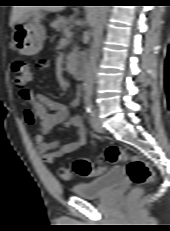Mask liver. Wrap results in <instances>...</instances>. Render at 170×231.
Instances as JSON below:
<instances>
[{
	"label": "liver",
	"mask_w": 170,
	"mask_h": 231,
	"mask_svg": "<svg viewBox=\"0 0 170 231\" xmlns=\"http://www.w3.org/2000/svg\"><path fill=\"white\" fill-rule=\"evenodd\" d=\"M63 6H14L10 18V27H13L16 22L28 12H40L42 10L48 12H57L63 10Z\"/></svg>",
	"instance_id": "obj_1"
}]
</instances>
